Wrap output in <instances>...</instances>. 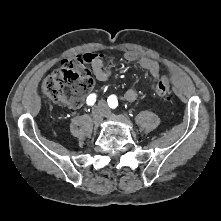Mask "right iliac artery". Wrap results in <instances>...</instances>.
Masks as SVG:
<instances>
[{
	"instance_id": "82829eb1",
	"label": "right iliac artery",
	"mask_w": 221,
	"mask_h": 221,
	"mask_svg": "<svg viewBox=\"0 0 221 221\" xmlns=\"http://www.w3.org/2000/svg\"><path fill=\"white\" fill-rule=\"evenodd\" d=\"M95 102H96V94H94V93L90 94L86 100L87 105L92 106V105H94Z\"/></svg>"
}]
</instances>
